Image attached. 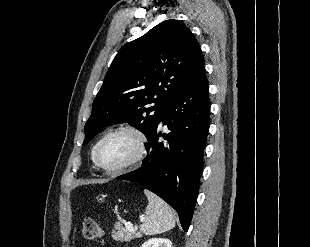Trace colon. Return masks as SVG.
<instances>
[{"label":"colon","mask_w":310,"mask_h":247,"mask_svg":"<svg viewBox=\"0 0 310 247\" xmlns=\"http://www.w3.org/2000/svg\"><path fill=\"white\" fill-rule=\"evenodd\" d=\"M102 234L100 225L93 219H85L83 224V237L87 241L97 240Z\"/></svg>","instance_id":"colon-1"}]
</instances>
